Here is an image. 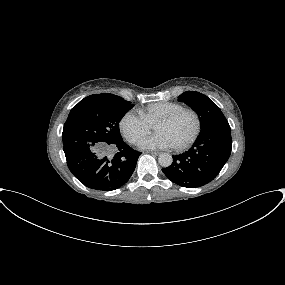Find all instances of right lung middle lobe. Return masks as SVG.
<instances>
[{
    "instance_id": "obj_1",
    "label": "right lung middle lobe",
    "mask_w": 285,
    "mask_h": 285,
    "mask_svg": "<svg viewBox=\"0 0 285 285\" xmlns=\"http://www.w3.org/2000/svg\"><path fill=\"white\" fill-rule=\"evenodd\" d=\"M133 106L109 93L82 99L71 109L64 124L63 144L76 141L113 144L122 141L119 122Z\"/></svg>"
}]
</instances>
